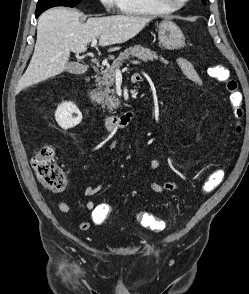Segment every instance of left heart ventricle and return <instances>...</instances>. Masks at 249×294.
<instances>
[{
	"label": "left heart ventricle",
	"instance_id": "obj_1",
	"mask_svg": "<svg viewBox=\"0 0 249 294\" xmlns=\"http://www.w3.org/2000/svg\"><path fill=\"white\" fill-rule=\"evenodd\" d=\"M172 4H177V3H180L184 0H170Z\"/></svg>",
	"mask_w": 249,
	"mask_h": 294
}]
</instances>
